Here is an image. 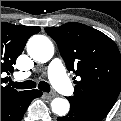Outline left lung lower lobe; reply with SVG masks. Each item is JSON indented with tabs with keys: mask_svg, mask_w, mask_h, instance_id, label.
Here are the masks:
<instances>
[{
	"mask_svg": "<svg viewBox=\"0 0 121 121\" xmlns=\"http://www.w3.org/2000/svg\"><path fill=\"white\" fill-rule=\"evenodd\" d=\"M70 102V111L64 117H58V121H102L103 116L84 110L76 103Z\"/></svg>",
	"mask_w": 121,
	"mask_h": 121,
	"instance_id": "obj_1",
	"label": "left lung lower lobe"
}]
</instances>
